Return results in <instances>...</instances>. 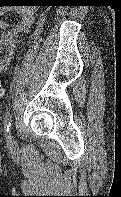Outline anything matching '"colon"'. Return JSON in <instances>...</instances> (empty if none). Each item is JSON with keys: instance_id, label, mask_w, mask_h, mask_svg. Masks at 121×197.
<instances>
[{"instance_id": "5ec220e1", "label": "colon", "mask_w": 121, "mask_h": 197, "mask_svg": "<svg viewBox=\"0 0 121 197\" xmlns=\"http://www.w3.org/2000/svg\"><path fill=\"white\" fill-rule=\"evenodd\" d=\"M5 94V91H4V88H3V85H2V82L0 80V98H2Z\"/></svg>"}]
</instances>
